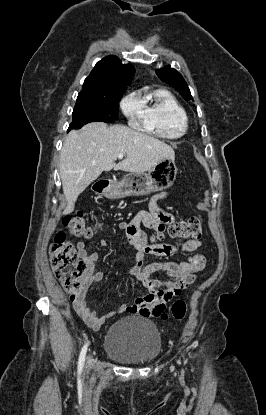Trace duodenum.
<instances>
[{"label":"duodenum","instance_id":"obj_1","mask_svg":"<svg viewBox=\"0 0 266 415\" xmlns=\"http://www.w3.org/2000/svg\"><path fill=\"white\" fill-rule=\"evenodd\" d=\"M108 186H109L108 181H100L96 183L94 189L97 193H104L107 190Z\"/></svg>","mask_w":266,"mask_h":415}]
</instances>
